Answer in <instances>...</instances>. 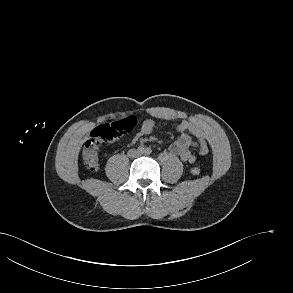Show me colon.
Here are the masks:
<instances>
[{"instance_id":"5ec220e1","label":"colon","mask_w":293,"mask_h":293,"mask_svg":"<svg viewBox=\"0 0 293 293\" xmlns=\"http://www.w3.org/2000/svg\"><path fill=\"white\" fill-rule=\"evenodd\" d=\"M135 124V119L129 117L116 123L96 127L92 131L83 149V162L86 168L91 171H96L99 168L100 147L116 142L126 132L133 130ZM190 172L192 175L198 176L201 170L199 167L194 166L191 168Z\"/></svg>"}]
</instances>
